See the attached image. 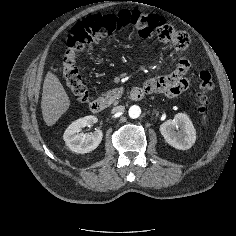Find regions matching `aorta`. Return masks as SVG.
<instances>
[{
	"label": "aorta",
	"instance_id": "obj_1",
	"mask_svg": "<svg viewBox=\"0 0 236 236\" xmlns=\"http://www.w3.org/2000/svg\"><path fill=\"white\" fill-rule=\"evenodd\" d=\"M141 114V109L137 105H133L129 108V116L132 119H136L140 116Z\"/></svg>",
	"mask_w": 236,
	"mask_h": 236
}]
</instances>
